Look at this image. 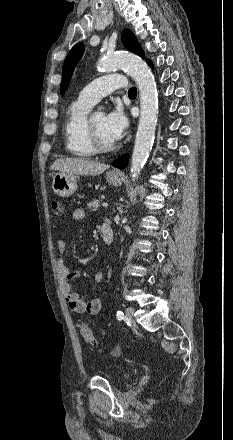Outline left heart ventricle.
<instances>
[{"label":"left heart ventricle","instance_id":"left-heart-ventricle-1","mask_svg":"<svg viewBox=\"0 0 233 440\" xmlns=\"http://www.w3.org/2000/svg\"><path fill=\"white\" fill-rule=\"evenodd\" d=\"M93 125L99 137L106 143L114 142L106 126V116L103 113H96L92 116Z\"/></svg>","mask_w":233,"mask_h":440}]
</instances>
